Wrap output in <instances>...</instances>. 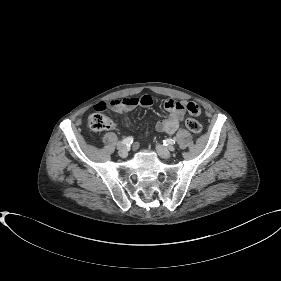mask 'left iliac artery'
<instances>
[{
    "mask_svg": "<svg viewBox=\"0 0 281 281\" xmlns=\"http://www.w3.org/2000/svg\"><path fill=\"white\" fill-rule=\"evenodd\" d=\"M165 146L174 145L175 141L173 139H166L163 141Z\"/></svg>",
    "mask_w": 281,
    "mask_h": 281,
    "instance_id": "obj_1",
    "label": "left iliac artery"
}]
</instances>
